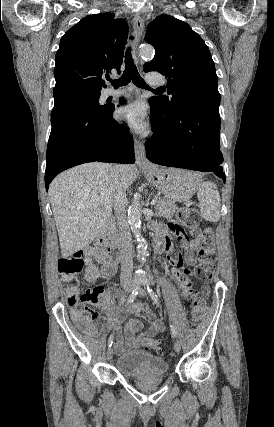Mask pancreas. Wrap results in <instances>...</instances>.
Here are the masks:
<instances>
[{
    "instance_id": "pancreas-1",
    "label": "pancreas",
    "mask_w": 274,
    "mask_h": 427,
    "mask_svg": "<svg viewBox=\"0 0 274 427\" xmlns=\"http://www.w3.org/2000/svg\"><path fill=\"white\" fill-rule=\"evenodd\" d=\"M155 210L157 212L156 215H160V217H173L174 212L177 210V206L173 200H165V198H157ZM117 235V233H115Z\"/></svg>"
}]
</instances>
